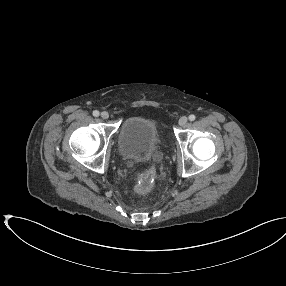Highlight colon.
I'll list each match as a JSON object with an SVG mask.
<instances>
[{
	"label": "colon",
	"instance_id": "obj_1",
	"mask_svg": "<svg viewBox=\"0 0 286 286\" xmlns=\"http://www.w3.org/2000/svg\"><path fill=\"white\" fill-rule=\"evenodd\" d=\"M156 178V169L150 168L138 176L136 191L138 193H146L151 188Z\"/></svg>",
	"mask_w": 286,
	"mask_h": 286
}]
</instances>
